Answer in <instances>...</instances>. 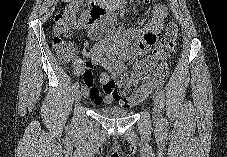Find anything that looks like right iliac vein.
Returning <instances> with one entry per match:
<instances>
[{"instance_id": "obj_1", "label": "right iliac vein", "mask_w": 227, "mask_h": 157, "mask_svg": "<svg viewBox=\"0 0 227 157\" xmlns=\"http://www.w3.org/2000/svg\"><path fill=\"white\" fill-rule=\"evenodd\" d=\"M74 99L76 103H79L81 100V93L78 89L74 91Z\"/></svg>"}]
</instances>
